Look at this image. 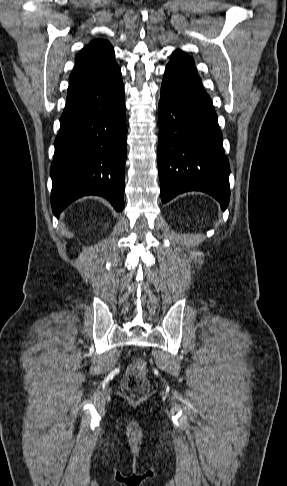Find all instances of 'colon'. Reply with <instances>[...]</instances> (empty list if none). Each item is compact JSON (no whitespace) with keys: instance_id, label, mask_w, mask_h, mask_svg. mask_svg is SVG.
<instances>
[{"instance_id":"1","label":"colon","mask_w":287,"mask_h":486,"mask_svg":"<svg viewBox=\"0 0 287 486\" xmlns=\"http://www.w3.org/2000/svg\"><path fill=\"white\" fill-rule=\"evenodd\" d=\"M147 367L142 359L134 360L128 367L122 389L133 401L142 399L148 391Z\"/></svg>"}]
</instances>
